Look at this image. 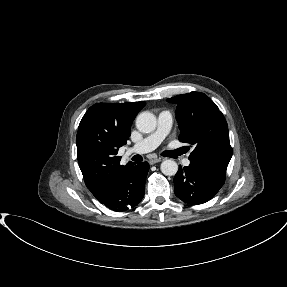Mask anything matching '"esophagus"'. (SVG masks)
Segmentation results:
<instances>
[{"instance_id": "obj_1", "label": "esophagus", "mask_w": 287, "mask_h": 287, "mask_svg": "<svg viewBox=\"0 0 287 287\" xmlns=\"http://www.w3.org/2000/svg\"><path fill=\"white\" fill-rule=\"evenodd\" d=\"M161 161H162L161 158H153V159L149 160V164L153 165V164L159 163Z\"/></svg>"}]
</instances>
